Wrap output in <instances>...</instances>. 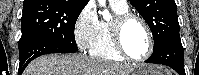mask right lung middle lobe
I'll use <instances>...</instances> for the list:
<instances>
[{"label":"right lung middle lobe","mask_w":199,"mask_h":75,"mask_svg":"<svg viewBox=\"0 0 199 75\" xmlns=\"http://www.w3.org/2000/svg\"><path fill=\"white\" fill-rule=\"evenodd\" d=\"M84 7L59 2L44 6L24 5L21 18L22 36L19 40V46L34 38H40L78 49L74 28Z\"/></svg>","instance_id":"dd1d6c3e"}]
</instances>
